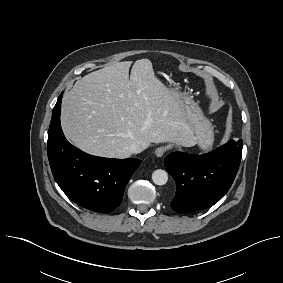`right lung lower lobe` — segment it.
I'll use <instances>...</instances> for the list:
<instances>
[{
	"label": "right lung lower lobe",
	"instance_id": "right-lung-lower-lobe-1",
	"mask_svg": "<svg viewBox=\"0 0 283 283\" xmlns=\"http://www.w3.org/2000/svg\"><path fill=\"white\" fill-rule=\"evenodd\" d=\"M61 98L53 109L48 131V158L53 176L76 204L100 213L113 211L141 160L110 159L86 154L71 145L60 125Z\"/></svg>",
	"mask_w": 283,
	"mask_h": 283
}]
</instances>
